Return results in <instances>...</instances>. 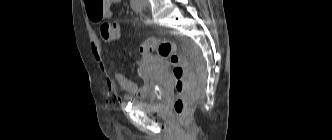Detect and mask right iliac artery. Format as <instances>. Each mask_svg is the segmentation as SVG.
Here are the masks:
<instances>
[{"label":"right iliac artery","mask_w":332,"mask_h":140,"mask_svg":"<svg viewBox=\"0 0 332 140\" xmlns=\"http://www.w3.org/2000/svg\"><path fill=\"white\" fill-rule=\"evenodd\" d=\"M130 5H131V8L135 12H141L142 11V4L139 2V0H131Z\"/></svg>","instance_id":"right-iliac-artery-1"}]
</instances>
